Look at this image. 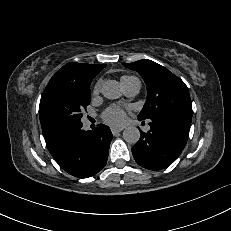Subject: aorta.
I'll return each instance as SVG.
<instances>
[{
  "label": "aorta",
  "mask_w": 231,
  "mask_h": 231,
  "mask_svg": "<svg viewBox=\"0 0 231 231\" xmlns=\"http://www.w3.org/2000/svg\"><path fill=\"white\" fill-rule=\"evenodd\" d=\"M102 94L108 99H118L122 95V90L116 80H108L102 86ZM123 138L127 143L135 144L140 139V131L134 126L127 127L123 131Z\"/></svg>",
  "instance_id": "aorta-1"
}]
</instances>
